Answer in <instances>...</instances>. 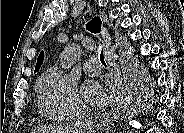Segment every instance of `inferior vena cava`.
Instances as JSON below:
<instances>
[{"label":"inferior vena cava","mask_w":184,"mask_h":133,"mask_svg":"<svg viewBox=\"0 0 184 133\" xmlns=\"http://www.w3.org/2000/svg\"><path fill=\"white\" fill-rule=\"evenodd\" d=\"M74 130L76 133H92L93 120L90 111L83 107L78 106L75 111V125Z\"/></svg>","instance_id":"inferior-vena-cava-1"}]
</instances>
